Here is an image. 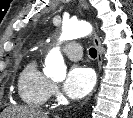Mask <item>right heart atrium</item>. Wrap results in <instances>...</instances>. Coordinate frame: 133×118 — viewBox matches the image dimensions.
<instances>
[{
  "label": "right heart atrium",
  "instance_id": "right-heart-atrium-1",
  "mask_svg": "<svg viewBox=\"0 0 133 118\" xmlns=\"http://www.w3.org/2000/svg\"><path fill=\"white\" fill-rule=\"evenodd\" d=\"M50 95L51 96L58 95V87L55 84L51 85Z\"/></svg>",
  "mask_w": 133,
  "mask_h": 118
}]
</instances>
